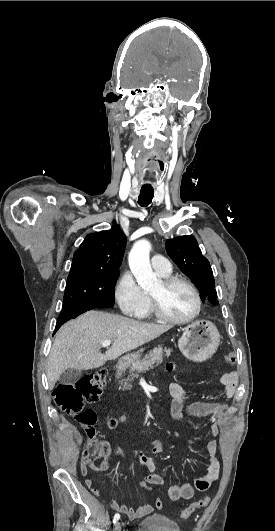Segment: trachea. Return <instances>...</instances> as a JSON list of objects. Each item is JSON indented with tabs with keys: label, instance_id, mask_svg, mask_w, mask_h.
<instances>
[{
	"label": "trachea",
	"instance_id": "3493384b",
	"mask_svg": "<svg viewBox=\"0 0 275 531\" xmlns=\"http://www.w3.org/2000/svg\"><path fill=\"white\" fill-rule=\"evenodd\" d=\"M153 196L154 190L152 186H142L138 197L139 205L143 207L148 206L151 203Z\"/></svg>",
	"mask_w": 275,
	"mask_h": 531
}]
</instances>
